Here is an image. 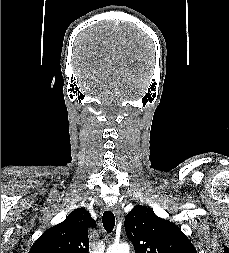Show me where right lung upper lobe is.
Instances as JSON below:
<instances>
[{
	"mask_svg": "<svg viewBox=\"0 0 229 253\" xmlns=\"http://www.w3.org/2000/svg\"><path fill=\"white\" fill-rule=\"evenodd\" d=\"M96 223L85 208H77L66 219L47 229L29 253H88V228Z\"/></svg>",
	"mask_w": 229,
	"mask_h": 253,
	"instance_id": "right-lung-upper-lobe-1",
	"label": "right lung upper lobe"
}]
</instances>
